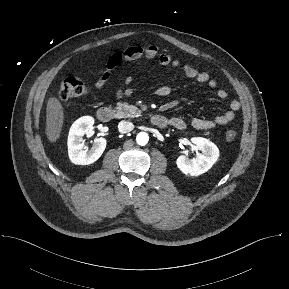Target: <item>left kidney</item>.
Returning a JSON list of instances; mask_svg holds the SVG:
<instances>
[{
    "instance_id": "1",
    "label": "left kidney",
    "mask_w": 289,
    "mask_h": 289,
    "mask_svg": "<svg viewBox=\"0 0 289 289\" xmlns=\"http://www.w3.org/2000/svg\"><path fill=\"white\" fill-rule=\"evenodd\" d=\"M191 142L196 145L201 153H197L191 159L181 155L177 158L176 164L185 175L199 176L207 172L217 161L219 149L213 142L202 137H194Z\"/></svg>"
}]
</instances>
